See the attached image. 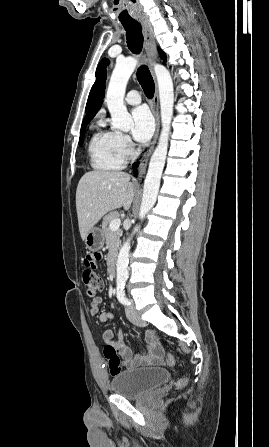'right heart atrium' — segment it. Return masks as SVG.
<instances>
[{
	"label": "right heart atrium",
	"mask_w": 269,
	"mask_h": 447,
	"mask_svg": "<svg viewBox=\"0 0 269 447\" xmlns=\"http://www.w3.org/2000/svg\"><path fill=\"white\" fill-rule=\"evenodd\" d=\"M119 145L125 157H130L134 152V144L127 134L119 133Z\"/></svg>",
	"instance_id": "right-heart-atrium-1"
}]
</instances>
